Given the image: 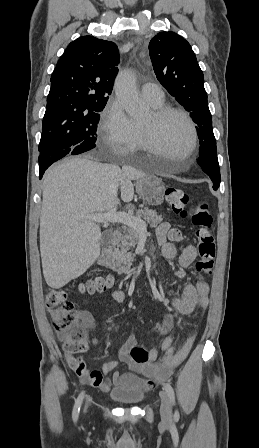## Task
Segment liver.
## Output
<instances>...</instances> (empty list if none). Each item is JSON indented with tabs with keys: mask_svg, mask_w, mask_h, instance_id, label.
I'll return each instance as SVG.
<instances>
[{
	"mask_svg": "<svg viewBox=\"0 0 259 448\" xmlns=\"http://www.w3.org/2000/svg\"><path fill=\"white\" fill-rule=\"evenodd\" d=\"M129 184L119 166L81 156L64 158L45 172L40 254L50 288H63L94 264L100 256L101 230L85 214L116 208L119 186L125 194Z\"/></svg>",
	"mask_w": 259,
	"mask_h": 448,
	"instance_id": "liver-1",
	"label": "liver"
}]
</instances>
